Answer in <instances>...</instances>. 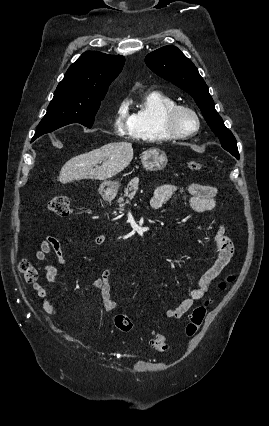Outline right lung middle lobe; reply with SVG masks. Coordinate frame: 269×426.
<instances>
[{"instance_id":"dd1d6c3e","label":"right lung middle lobe","mask_w":269,"mask_h":426,"mask_svg":"<svg viewBox=\"0 0 269 426\" xmlns=\"http://www.w3.org/2000/svg\"><path fill=\"white\" fill-rule=\"evenodd\" d=\"M103 98L104 96H98L92 99H72L63 95L54 94L48 106L47 113L39 123L32 141L43 134L52 132L71 123H79L91 128Z\"/></svg>"}]
</instances>
